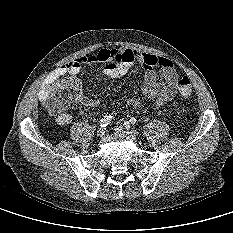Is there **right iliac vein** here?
Returning <instances> with one entry per match:
<instances>
[{"instance_id": "obj_1", "label": "right iliac vein", "mask_w": 233, "mask_h": 233, "mask_svg": "<svg viewBox=\"0 0 233 233\" xmlns=\"http://www.w3.org/2000/svg\"><path fill=\"white\" fill-rule=\"evenodd\" d=\"M104 135H105V129H104V128H99V129L97 130V136H98L99 138H102Z\"/></svg>"}]
</instances>
